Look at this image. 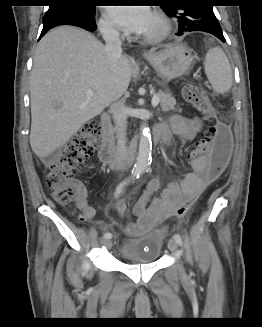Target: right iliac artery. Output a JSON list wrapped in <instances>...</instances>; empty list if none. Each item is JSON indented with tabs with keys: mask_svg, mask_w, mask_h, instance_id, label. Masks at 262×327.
I'll list each match as a JSON object with an SVG mask.
<instances>
[{
	"mask_svg": "<svg viewBox=\"0 0 262 327\" xmlns=\"http://www.w3.org/2000/svg\"><path fill=\"white\" fill-rule=\"evenodd\" d=\"M128 179L122 181L116 188L115 192H114V196L115 198H118L120 196V194L122 193L123 188L127 185L128 183ZM104 237L107 239H111L112 238V234L110 232H106L104 234Z\"/></svg>",
	"mask_w": 262,
	"mask_h": 327,
	"instance_id": "1",
	"label": "right iliac artery"
}]
</instances>
